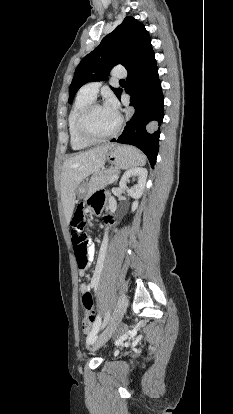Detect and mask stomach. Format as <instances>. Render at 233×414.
Segmentation results:
<instances>
[{
	"label": "stomach",
	"mask_w": 233,
	"mask_h": 414,
	"mask_svg": "<svg viewBox=\"0 0 233 414\" xmlns=\"http://www.w3.org/2000/svg\"><path fill=\"white\" fill-rule=\"evenodd\" d=\"M143 157L142 153L130 146L114 145L106 154V160L116 168H129L138 163ZM77 195L80 198H87L90 194L88 187L85 184L78 186Z\"/></svg>",
	"instance_id": "0dacf381"
}]
</instances>
